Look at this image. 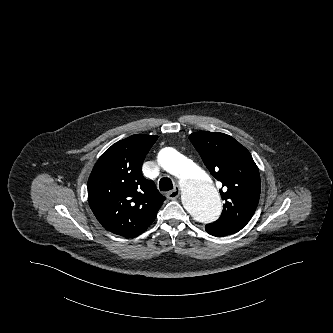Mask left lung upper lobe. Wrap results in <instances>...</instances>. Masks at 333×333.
Listing matches in <instances>:
<instances>
[{"label": "left lung upper lobe", "mask_w": 333, "mask_h": 333, "mask_svg": "<svg viewBox=\"0 0 333 333\" xmlns=\"http://www.w3.org/2000/svg\"><path fill=\"white\" fill-rule=\"evenodd\" d=\"M189 139L210 173L223 184V189H219L225 202L223 212L214 223L242 229L260 198L259 170L251 154L223 133L200 131L191 134Z\"/></svg>", "instance_id": "obj_1"}]
</instances>
